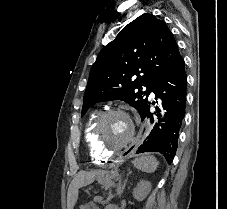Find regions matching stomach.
<instances>
[{
    "label": "stomach",
    "mask_w": 227,
    "mask_h": 209,
    "mask_svg": "<svg viewBox=\"0 0 227 209\" xmlns=\"http://www.w3.org/2000/svg\"><path fill=\"white\" fill-rule=\"evenodd\" d=\"M97 180L101 184H107L111 180V175L107 172L101 173L97 176Z\"/></svg>",
    "instance_id": "obj_1"
}]
</instances>
